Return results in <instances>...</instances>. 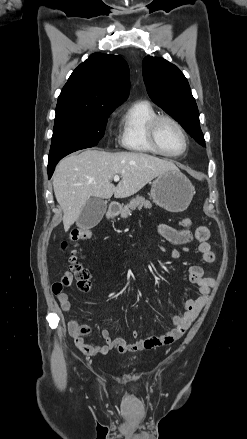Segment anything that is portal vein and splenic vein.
Instances as JSON below:
<instances>
[{"mask_svg":"<svg viewBox=\"0 0 247 439\" xmlns=\"http://www.w3.org/2000/svg\"><path fill=\"white\" fill-rule=\"evenodd\" d=\"M113 180H114L115 182H118V181L120 180V177H119L118 175H115V176L113 177Z\"/></svg>","mask_w":247,"mask_h":439,"instance_id":"18ae733b","label":"portal vein and splenic vein"}]
</instances>
